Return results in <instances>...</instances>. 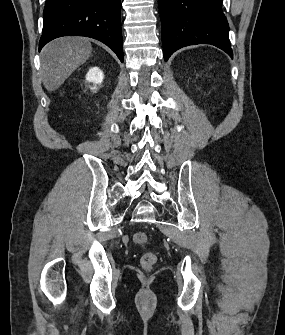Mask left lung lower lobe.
<instances>
[{"label":"left lung lower lobe","instance_id":"1","mask_svg":"<svg viewBox=\"0 0 285 335\" xmlns=\"http://www.w3.org/2000/svg\"><path fill=\"white\" fill-rule=\"evenodd\" d=\"M165 61L178 49L195 44H211L231 58L229 25L222 0H158Z\"/></svg>","mask_w":285,"mask_h":335}]
</instances>
